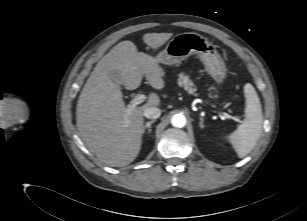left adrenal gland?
I'll use <instances>...</instances> for the list:
<instances>
[{
	"label": "left adrenal gland",
	"mask_w": 307,
	"mask_h": 221,
	"mask_svg": "<svg viewBox=\"0 0 307 221\" xmlns=\"http://www.w3.org/2000/svg\"><path fill=\"white\" fill-rule=\"evenodd\" d=\"M199 126H200L201 128H204V119H203L202 117H200Z\"/></svg>",
	"instance_id": "left-adrenal-gland-1"
}]
</instances>
